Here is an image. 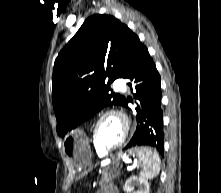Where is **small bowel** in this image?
Here are the masks:
<instances>
[{
	"label": "small bowel",
	"mask_w": 221,
	"mask_h": 193,
	"mask_svg": "<svg viewBox=\"0 0 221 193\" xmlns=\"http://www.w3.org/2000/svg\"><path fill=\"white\" fill-rule=\"evenodd\" d=\"M97 193H118V191L113 186H106V187L100 189Z\"/></svg>",
	"instance_id": "c3829d8e"
}]
</instances>
